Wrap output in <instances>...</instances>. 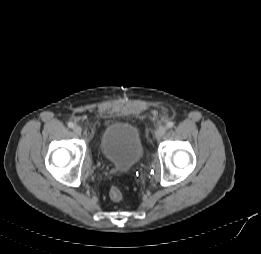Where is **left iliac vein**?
Returning a JSON list of instances; mask_svg holds the SVG:
<instances>
[{
	"label": "left iliac vein",
	"instance_id": "left-iliac-vein-1",
	"mask_svg": "<svg viewBox=\"0 0 261 254\" xmlns=\"http://www.w3.org/2000/svg\"><path fill=\"white\" fill-rule=\"evenodd\" d=\"M167 131V128L165 126H162L158 129L156 133V139L159 140Z\"/></svg>",
	"mask_w": 261,
	"mask_h": 254
}]
</instances>
